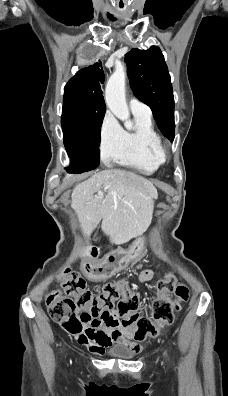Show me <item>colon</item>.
<instances>
[{
	"mask_svg": "<svg viewBox=\"0 0 228 396\" xmlns=\"http://www.w3.org/2000/svg\"><path fill=\"white\" fill-rule=\"evenodd\" d=\"M58 279L67 296L58 292L47 296L49 315L74 335L91 326L128 328L133 330L136 340L155 337L162 327L173 322L180 303L189 298L188 289L177 285L172 273L167 274L157 284L150 319L137 315L139 297L124 280L107 283L100 294H94L86 288L84 279L68 267L59 272ZM172 293L175 298L169 296ZM115 304L117 311H114Z\"/></svg>",
	"mask_w": 228,
	"mask_h": 396,
	"instance_id": "5ec220e1",
	"label": "colon"
}]
</instances>
